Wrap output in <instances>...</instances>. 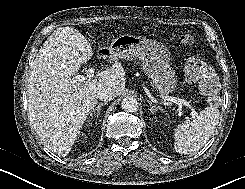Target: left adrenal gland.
Returning <instances> with one entry per match:
<instances>
[{
  "label": "left adrenal gland",
  "instance_id": "1",
  "mask_svg": "<svg viewBox=\"0 0 245 189\" xmlns=\"http://www.w3.org/2000/svg\"><path fill=\"white\" fill-rule=\"evenodd\" d=\"M147 102L150 106L149 110L153 113V114H156V112L158 110H161L163 111L162 107L161 106H157V105H154L149 99H147Z\"/></svg>",
  "mask_w": 245,
  "mask_h": 189
}]
</instances>
